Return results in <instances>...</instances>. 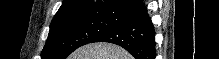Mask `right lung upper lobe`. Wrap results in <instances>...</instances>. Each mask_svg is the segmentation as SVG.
<instances>
[{"label":"right lung upper lobe","instance_id":"obj_1","mask_svg":"<svg viewBox=\"0 0 219 59\" xmlns=\"http://www.w3.org/2000/svg\"><path fill=\"white\" fill-rule=\"evenodd\" d=\"M124 0H64L55 18L91 10H112Z\"/></svg>","mask_w":219,"mask_h":59}]
</instances>
